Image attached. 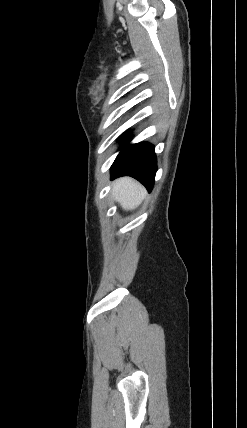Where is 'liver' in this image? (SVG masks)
I'll use <instances>...</instances> for the list:
<instances>
[{"label": "liver", "instance_id": "1", "mask_svg": "<svg viewBox=\"0 0 247 428\" xmlns=\"http://www.w3.org/2000/svg\"><path fill=\"white\" fill-rule=\"evenodd\" d=\"M112 198L117 201L124 210L137 208L146 196L145 188L130 177L117 179L111 190Z\"/></svg>", "mask_w": 247, "mask_h": 428}]
</instances>
